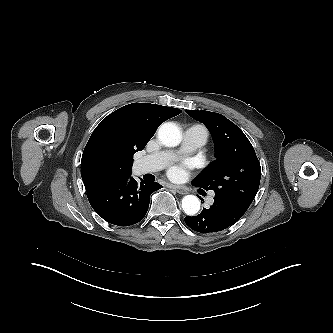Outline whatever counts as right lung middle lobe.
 <instances>
[{
    "label": "right lung middle lobe",
    "instance_id": "obj_1",
    "mask_svg": "<svg viewBox=\"0 0 333 333\" xmlns=\"http://www.w3.org/2000/svg\"><path fill=\"white\" fill-rule=\"evenodd\" d=\"M134 153H135V152H130V153L128 154L129 158L132 159V160H133V155H134Z\"/></svg>",
    "mask_w": 333,
    "mask_h": 333
}]
</instances>
